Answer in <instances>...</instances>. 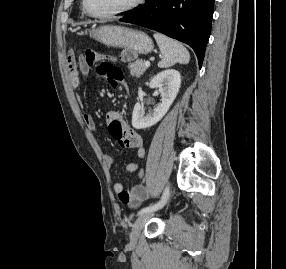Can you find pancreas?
<instances>
[{
    "label": "pancreas",
    "mask_w": 286,
    "mask_h": 269,
    "mask_svg": "<svg viewBox=\"0 0 286 269\" xmlns=\"http://www.w3.org/2000/svg\"><path fill=\"white\" fill-rule=\"evenodd\" d=\"M128 68L132 76L139 78L146 71L147 66H145L143 60L139 59L133 63H129Z\"/></svg>",
    "instance_id": "cf45deb5"
}]
</instances>
